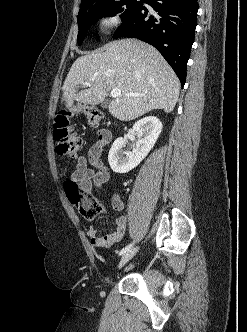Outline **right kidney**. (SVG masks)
Here are the masks:
<instances>
[{
    "label": "right kidney",
    "instance_id": "obj_1",
    "mask_svg": "<svg viewBox=\"0 0 247 332\" xmlns=\"http://www.w3.org/2000/svg\"><path fill=\"white\" fill-rule=\"evenodd\" d=\"M163 125L154 116L140 119L133 125V133L137 142L132 151H124L127 140L117 138L108 154V162L111 169L116 173H127L137 167L154 147Z\"/></svg>",
    "mask_w": 247,
    "mask_h": 332
}]
</instances>
